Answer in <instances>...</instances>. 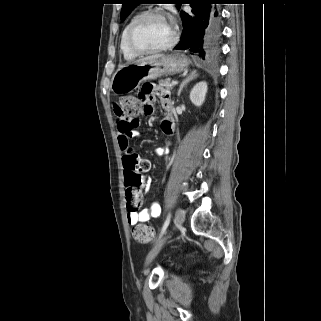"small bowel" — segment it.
I'll return each mask as SVG.
<instances>
[{
    "instance_id": "obj_1",
    "label": "small bowel",
    "mask_w": 321,
    "mask_h": 321,
    "mask_svg": "<svg viewBox=\"0 0 321 321\" xmlns=\"http://www.w3.org/2000/svg\"><path fill=\"white\" fill-rule=\"evenodd\" d=\"M142 85V87L135 91V98H143L144 96L146 102L152 103L155 100L156 96L159 97L162 107L166 112V116L161 122V129L165 135H172L174 132V117L172 111L173 106L169 92L165 89L157 88L152 82H150V80H143ZM114 110H116V106L114 107ZM138 127L139 122L127 121L117 115V141L119 148L123 154L122 160L124 167L129 158L138 156V154L129 145L131 139L140 136ZM155 153L159 156L165 155L167 153V148L158 147L155 149ZM149 184L150 180L147 181V185ZM160 214V204L153 203L148 209H142L140 211L128 210L126 218L129 225L135 226L139 223L147 222L150 219L158 218Z\"/></svg>"
}]
</instances>
